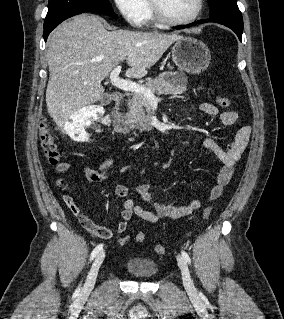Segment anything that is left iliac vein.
I'll return each instance as SVG.
<instances>
[{"label":"left iliac vein","instance_id":"obj_1","mask_svg":"<svg viewBox=\"0 0 284 319\" xmlns=\"http://www.w3.org/2000/svg\"><path fill=\"white\" fill-rule=\"evenodd\" d=\"M177 262H178V266L181 270L182 280H183V284H184L186 291L190 294H194L196 292V289H195L194 283L191 279L190 271H189L186 260L182 256L178 255Z\"/></svg>","mask_w":284,"mask_h":319}]
</instances>
